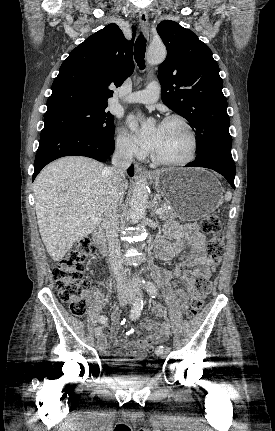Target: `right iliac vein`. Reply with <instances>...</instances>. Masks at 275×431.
<instances>
[{"instance_id":"obj_1","label":"right iliac vein","mask_w":275,"mask_h":431,"mask_svg":"<svg viewBox=\"0 0 275 431\" xmlns=\"http://www.w3.org/2000/svg\"><path fill=\"white\" fill-rule=\"evenodd\" d=\"M118 301H119L120 306H125V305H127L128 303L132 302V301H133V298H132V296H131V295H128V294L123 293V292H120V293L118 294ZM101 332H102V328H101V326H98V327L95 329V337H96V338H99V337H100V335H101Z\"/></svg>"}]
</instances>
